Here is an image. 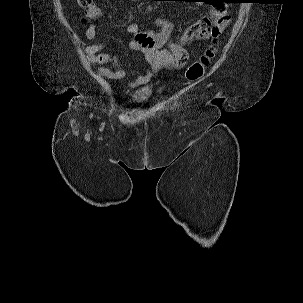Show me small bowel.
<instances>
[{
  "label": "small bowel",
  "mask_w": 303,
  "mask_h": 303,
  "mask_svg": "<svg viewBox=\"0 0 303 303\" xmlns=\"http://www.w3.org/2000/svg\"><path fill=\"white\" fill-rule=\"evenodd\" d=\"M137 1V0H133ZM103 16V10L92 5L87 9L86 17L96 20ZM228 24V14L224 9L211 10L202 20L187 28L177 41L171 40L172 24L165 19H156V30L142 33L137 24L130 23L125 31L134 36L130 43L132 50L144 55L148 64L145 73L129 83L131 88L148 85L161 69H177L185 65L188 59L186 44L198 39L210 38L212 35H220ZM88 38L96 36V25L91 24L86 32ZM105 42L90 45L86 48L89 61L98 65L99 74L108 80H121L125 77V71L118 64L116 55L100 53L105 47ZM112 66L109 69L107 66Z\"/></svg>",
  "instance_id": "obj_1"
}]
</instances>
